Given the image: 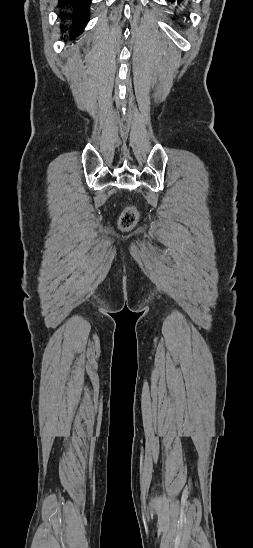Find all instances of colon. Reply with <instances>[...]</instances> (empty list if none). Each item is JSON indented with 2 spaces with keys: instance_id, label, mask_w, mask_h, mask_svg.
Listing matches in <instances>:
<instances>
[{
  "instance_id": "5ec220e1",
  "label": "colon",
  "mask_w": 253,
  "mask_h": 548,
  "mask_svg": "<svg viewBox=\"0 0 253 548\" xmlns=\"http://www.w3.org/2000/svg\"><path fill=\"white\" fill-rule=\"evenodd\" d=\"M138 220V212L134 207L125 209L120 217L119 226L123 231L132 229Z\"/></svg>"
}]
</instances>
